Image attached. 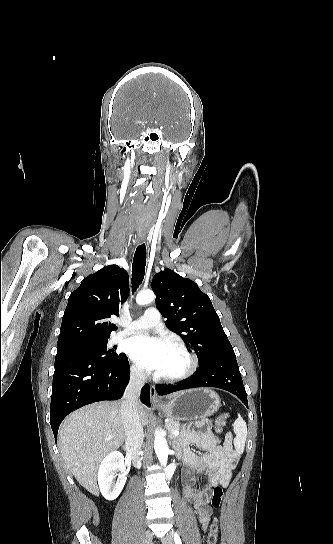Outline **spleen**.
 <instances>
[{
    "label": "spleen",
    "instance_id": "1",
    "mask_svg": "<svg viewBox=\"0 0 333 544\" xmlns=\"http://www.w3.org/2000/svg\"><path fill=\"white\" fill-rule=\"evenodd\" d=\"M233 431L236 435L234 440L235 449L238 452H243L244 445L247 437V426L245 420L238 415L237 419L233 424Z\"/></svg>",
    "mask_w": 333,
    "mask_h": 544
}]
</instances>
